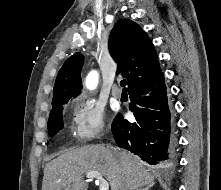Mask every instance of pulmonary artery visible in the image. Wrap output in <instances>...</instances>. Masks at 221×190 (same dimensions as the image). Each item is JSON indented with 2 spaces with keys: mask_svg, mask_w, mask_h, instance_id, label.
<instances>
[{
  "mask_svg": "<svg viewBox=\"0 0 221 190\" xmlns=\"http://www.w3.org/2000/svg\"><path fill=\"white\" fill-rule=\"evenodd\" d=\"M112 95L115 97V98H121L122 96V90L121 88L118 86V85H114L113 88H112Z\"/></svg>",
  "mask_w": 221,
  "mask_h": 190,
  "instance_id": "e3ab8cb5",
  "label": "pulmonary artery"
}]
</instances>
